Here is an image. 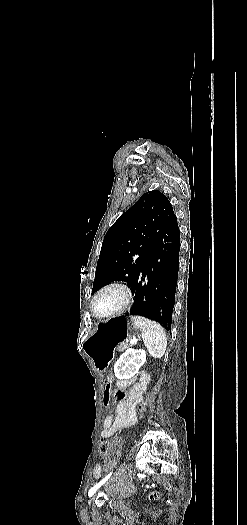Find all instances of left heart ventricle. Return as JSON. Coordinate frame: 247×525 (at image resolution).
<instances>
[{
	"label": "left heart ventricle",
	"instance_id": "obj_1",
	"mask_svg": "<svg viewBox=\"0 0 247 525\" xmlns=\"http://www.w3.org/2000/svg\"><path fill=\"white\" fill-rule=\"evenodd\" d=\"M124 299V293L119 290L108 289L103 291L96 299L95 307L100 313L117 307Z\"/></svg>",
	"mask_w": 247,
	"mask_h": 525
}]
</instances>
